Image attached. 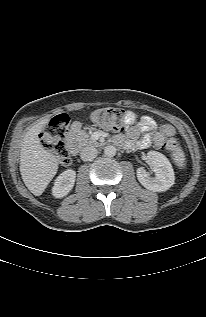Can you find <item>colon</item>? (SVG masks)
<instances>
[{
  "mask_svg": "<svg viewBox=\"0 0 206 317\" xmlns=\"http://www.w3.org/2000/svg\"><path fill=\"white\" fill-rule=\"evenodd\" d=\"M126 113L116 107L101 108L92 112L91 120L106 129L118 131L125 124ZM69 123L66 114L56 116L49 126L42 132L40 139L45 148L53 151L62 166L71 163L70 152L64 141V131ZM162 149L174 151L178 147L177 140L172 136L167 137L160 145Z\"/></svg>",
  "mask_w": 206,
  "mask_h": 317,
  "instance_id": "colon-1",
  "label": "colon"
}]
</instances>
